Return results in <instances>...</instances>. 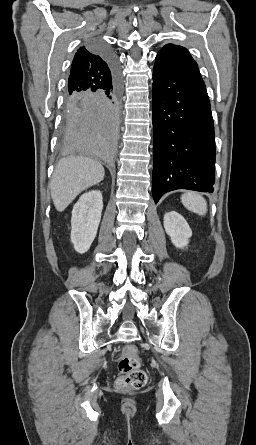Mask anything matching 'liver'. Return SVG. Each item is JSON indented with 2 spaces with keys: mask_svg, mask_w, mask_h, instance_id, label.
Returning a JSON list of instances; mask_svg holds the SVG:
<instances>
[{
  "mask_svg": "<svg viewBox=\"0 0 256 445\" xmlns=\"http://www.w3.org/2000/svg\"><path fill=\"white\" fill-rule=\"evenodd\" d=\"M104 167L97 160L87 157L61 159L54 170L50 191L57 211H64L83 190L101 182Z\"/></svg>",
  "mask_w": 256,
  "mask_h": 445,
  "instance_id": "1",
  "label": "liver"
}]
</instances>
